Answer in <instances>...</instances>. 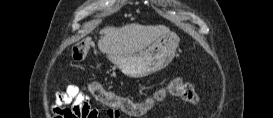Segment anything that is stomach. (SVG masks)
<instances>
[{
  "label": "stomach",
  "mask_w": 273,
  "mask_h": 118,
  "mask_svg": "<svg viewBox=\"0 0 273 118\" xmlns=\"http://www.w3.org/2000/svg\"><path fill=\"white\" fill-rule=\"evenodd\" d=\"M179 37L168 32L148 48L129 55L109 56L110 61L130 78H141L165 68L174 58Z\"/></svg>",
  "instance_id": "0dacf381"
}]
</instances>
